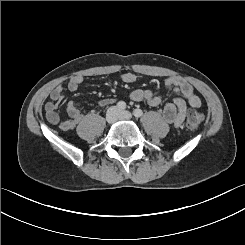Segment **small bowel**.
<instances>
[{
    "instance_id": "obj_1",
    "label": "small bowel",
    "mask_w": 245,
    "mask_h": 245,
    "mask_svg": "<svg viewBox=\"0 0 245 245\" xmlns=\"http://www.w3.org/2000/svg\"><path fill=\"white\" fill-rule=\"evenodd\" d=\"M121 79L125 83H133L136 81V75L132 73H125L121 75ZM82 82L83 77L81 76L71 77L67 82V86L69 90L75 91ZM164 86L166 89L183 96V98L175 97L163 108L164 120L168 124L175 127H180L186 117L187 104L192 108H198L201 105V100L195 94L191 84L179 76L167 78L164 82ZM63 97V87H55L50 93V101H48L45 105V115L50 124L58 126V128L62 131H68L75 128V126L82 120L83 114L80 112L74 101H69L67 104L69 119L62 120L57 110ZM130 97L135 102H145L151 107H158L162 103L161 98L149 89H136L132 91ZM113 102L114 99L105 98L98 101L97 105L99 107H105Z\"/></svg>"
}]
</instances>
